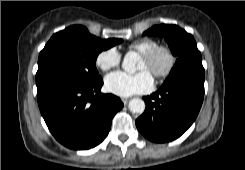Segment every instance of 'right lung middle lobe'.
<instances>
[{"label": "right lung middle lobe", "instance_id": "dd1d6c3e", "mask_svg": "<svg viewBox=\"0 0 245 170\" xmlns=\"http://www.w3.org/2000/svg\"><path fill=\"white\" fill-rule=\"evenodd\" d=\"M121 42L97 38L83 26L55 33L39 55L37 98L61 87L87 86L101 80L95 66L98 54Z\"/></svg>", "mask_w": 245, "mask_h": 170}]
</instances>
